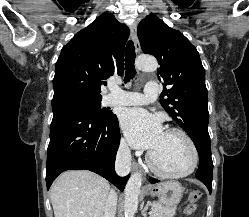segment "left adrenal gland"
Here are the masks:
<instances>
[{
	"label": "left adrenal gland",
	"instance_id": "a2214340",
	"mask_svg": "<svg viewBox=\"0 0 249 217\" xmlns=\"http://www.w3.org/2000/svg\"><path fill=\"white\" fill-rule=\"evenodd\" d=\"M147 209H148V204L146 205V207L142 211L144 217H147V214H146Z\"/></svg>",
	"mask_w": 249,
	"mask_h": 217
}]
</instances>
